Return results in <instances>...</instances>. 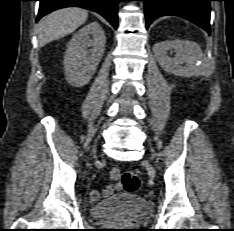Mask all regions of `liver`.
Wrapping results in <instances>:
<instances>
[{
	"instance_id": "6515ba94",
	"label": "liver",
	"mask_w": 234,
	"mask_h": 231,
	"mask_svg": "<svg viewBox=\"0 0 234 231\" xmlns=\"http://www.w3.org/2000/svg\"><path fill=\"white\" fill-rule=\"evenodd\" d=\"M88 17V12L81 8H65L45 16L39 23V46L60 39L81 26Z\"/></svg>"
}]
</instances>
